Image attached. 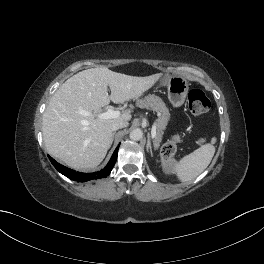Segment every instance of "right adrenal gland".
Instances as JSON below:
<instances>
[{"instance_id":"obj_1","label":"right adrenal gland","mask_w":264,"mask_h":264,"mask_svg":"<svg viewBox=\"0 0 264 264\" xmlns=\"http://www.w3.org/2000/svg\"><path fill=\"white\" fill-rule=\"evenodd\" d=\"M114 136H115V132L112 134V142H113V140H114Z\"/></svg>"}]
</instances>
